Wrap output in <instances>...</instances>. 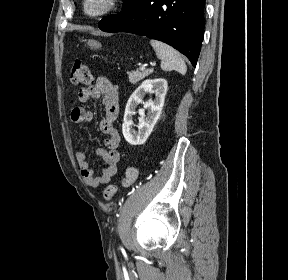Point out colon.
<instances>
[{"label": "colon", "instance_id": "1", "mask_svg": "<svg viewBox=\"0 0 288 280\" xmlns=\"http://www.w3.org/2000/svg\"><path fill=\"white\" fill-rule=\"evenodd\" d=\"M70 79L74 84L90 85L92 83V74L87 65L77 60L72 65ZM137 178L138 170L135 167H128L120 185L110 184L104 189L103 196L105 200L111 201L120 187H130L136 182Z\"/></svg>", "mask_w": 288, "mask_h": 280}]
</instances>
